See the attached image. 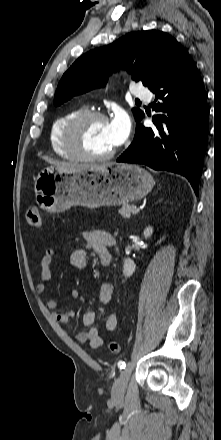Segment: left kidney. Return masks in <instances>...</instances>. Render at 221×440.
I'll return each mask as SVG.
<instances>
[{
	"instance_id": "5707ae66",
	"label": "left kidney",
	"mask_w": 221,
	"mask_h": 440,
	"mask_svg": "<svg viewBox=\"0 0 221 440\" xmlns=\"http://www.w3.org/2000/svg\"><path fill=\"white\" fill-rule=\"evenodd\" d=\"M153 233V228L151 226H148L145 228L143 235L145 237V239L149 238ZM136 269V265L134 263L133 260L127 258L124 260V265H123V274L125 277H130Z\"/></svg>"
}]
</instances>
